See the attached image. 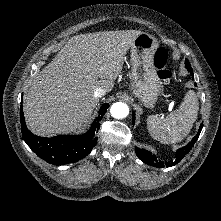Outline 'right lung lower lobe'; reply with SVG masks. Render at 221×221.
<instances>
[{
    "mask_svg": "<svg viewBox=\"0 0 221 221\" xmlns=\"http://www.w3.org/2000/svg\"><path fill=\"white\" fill-rule=\"evenodd\" d=\"M109 105L104 104L98 117L93 121L89 131L83 135H64L52 138H44L31 133L25 124L22 106L20 108V120L22 135L27 145L40 158L53 165L74 163L86 157L97 144L95 133L100 128V121L106 113Z\"/></svg>",
    "mask_w": 221,
    "mask_h": 221,
    "instance_id": "obj_1",
    "label": "right lung lower lobe"
}]
</instances>
